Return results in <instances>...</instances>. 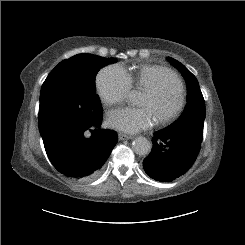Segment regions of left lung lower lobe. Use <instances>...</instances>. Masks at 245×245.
Returning a JSON list of instances; mask_svg holds the SVG:
<instances>
[{
    "label": "left lung lower lobe",
    "mask_w": 245,
    "mask_h": 245,
    "mask_svg": "<svg viewBox=\"0 0 245 245\" xmlns=\"http://www.w3.org/2000/svg\"><path fill=\"white\" fill-rule=\"evenodd\" d=\"M151 153L144 159L143 167L151 178L170 182L184 175L194 164L201 144L194 140L166 134L163 131L154 133Z\"/></svg>",
    "instance_id": "0a47b994"
}]
</instances>
